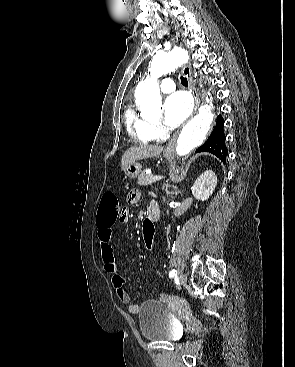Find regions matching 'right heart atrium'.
Segmentation results:
<instances>
[{"label": "right heart atrium", "mask_w": 295, "mask_h": 367, "mask_svg": "<svg viewBox=\"0 0 295 367\" xmlns=\"http://www.w3.org/2000/svg\"><path fill=\"white\" fill-rule=\"evenodd\" d=\"M153 132L157 138H162L166 133L164 127L160 124H153Z\"/></svg>", "instance_id": "d8ad5b80"}]
</instances>
